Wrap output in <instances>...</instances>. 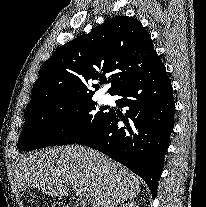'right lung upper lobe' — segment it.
<instances>
[{
    "label": "right lung upper lobe",
    "instance_id": "right-lung-upper-lobe-1",
    "mask_svg": "<svg viewBox=\"0 0 206 207\" xmlns=\"http://www.w3.org/2000/svg\"><path fill=\"white\" fill-rule=\"evenodd\" d=\"M157 56L139 21L116 16L58 48L43 65L26 111L49 102L92 97L91 81L111 73L108 92L137 77ZM96 90L99 85L93 84Z\"/></svg>",
    "mask_w": 206,
    "mask_h": 207
}]
</instances>
